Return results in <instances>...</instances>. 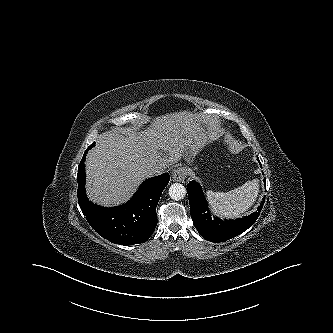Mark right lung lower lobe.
I'll list each match as a JSON object with an SVG mask.
<instances>
[{
  "label": "right lung lower lobe",
  "mask_w": 333,
  "mask_h": 333,
  "mask_svg": "<svg viewBox=\"0 0 333 333\" xmlns=\"http://www.w3.org/2000/svg\"><path fill=\"white\" fill-rule=\"evenodd\" d=\"M78 167V202L90 226L103 238L120 245L146 242L157 224L156 207L169 182V174L146 180L132 197L121 206L104 208L91 203L85 193L84 159Z\"/></svg>",
  "instance_id": "right-lung-lower-lobe-1"
}]
</instances>
